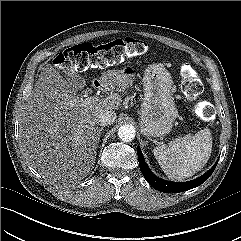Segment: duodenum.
<instances>
[{
	"mask_svg": "<svg viewBox=\"0 0 241 241\" xmlns=\"http://www.w3.org/2000/svg\"><path fill=\"white\" fill-rule=\"evenodd\" d=\"M93 86H94L95 88H100V87L102 86V81L99 80V79L94 80V81H93Z\"/></svg>",
	"mask_w": 241,
	"mask_h": 241,
	"instance_id": "1",
	"label": "duodenum"
}]
</instances>
